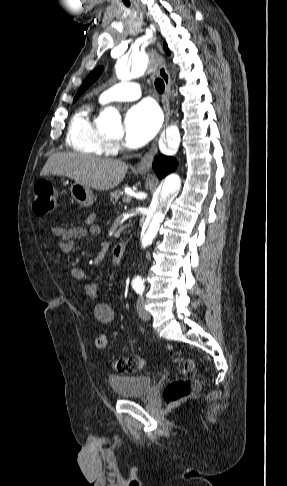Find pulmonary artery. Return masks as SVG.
Returning <instances> with one entry per match:
<instances>
[{
  "mask_svg": "<svg viewBox=\"0 0 287 486\" xmlns=\"http://www.w3.org/2000/svg\"><path fill=\"white\" fill-rule=\"evenodd\" d=\"M141 87L135 82H120L106 89L99 96V101L102 104H107L114 101H131L140 98Z\"/></svg>",
  "mask_w": 287,
  "mask_h": 486,
  "instance_id": "pulmonary-artery-1",
  "label": "pulmonary artery"
}]
</instances>
